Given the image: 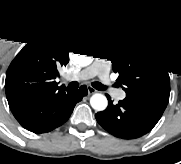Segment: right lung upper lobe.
Returning <instances> with one entry per match:
<instances>
[{
  "label": "right lung upper lobe",
  "instance_id": "right-lung-upper-lobe-1",
  "mask_svg": "<svg viewBox=\"0 0 181 164\" xmlns=\"http://www.w3.org/2000/svg\"><path fill=\"white\" fill-rule=\"evenodd\" d=\"M92 40L81 29L58 28L28 42L11 62L5 81L8 103L18 100L49 99L66 89L54 80L58 67L69 62L70 49Z\"/></svg>",
  "mask_w": 181,
  "mask_h": 164
}]
</instances>
